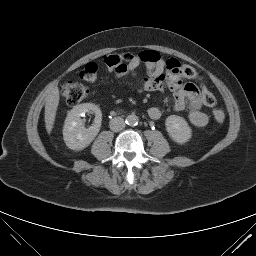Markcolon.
Instances as JSON below:
<instances>
[{
	"label": "colon",
	"mask_w": 256,
	"mask_h": 256,
	"mask_svg": "<svg viewBox=\"0 0 256 256\" xmlns=\"http://www.w3.org/2000/svg\"><path fill=\"white\" fill-rule=\"evenodd\" d=\"M139 58L145 62H157L161 59L158 52L147 50L139 53ZM131 59L130 55L110 54L104 56L103 62L110 70H116L122 64ZM180 73L187 79L198 80V74L190 65L182 64L179 66ZM98 66L96 63H87L80 72V78L84 81H93L96 79ZM201 98L204 105L214 107L217 103L216 97L205 86L200 83ZM60 93L69 105H75L84 100L88 95L87 88L78 82L66 81L60 86ZM213 117L217 123L222 124L225 121V114L220 109L213 110Z\"/></svg>",
	"instance_id": "5ec220e1"
}]
</instances>
